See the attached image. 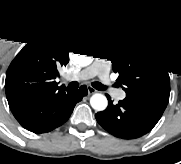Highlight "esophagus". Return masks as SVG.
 Masks as SVG:
<instances>
[{"instance_id":"34e87169","label":"esophagus","mask_w":181,"mask_h":164,"mask_svg":"<svg viewBox=\"0 0 181 164\" xmlns=\"http://www.w3.org/2000/svg\"><path fill=\"white\" fill-rule=\"evenodd\" d=\"M87 89H88V95H91L96 92V90L92 88L91 86H88Z\"/></svg>"}]
</instances>
